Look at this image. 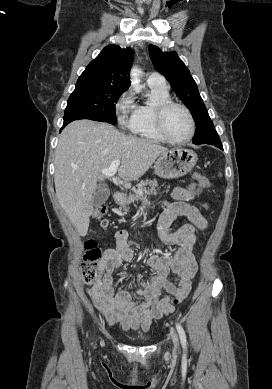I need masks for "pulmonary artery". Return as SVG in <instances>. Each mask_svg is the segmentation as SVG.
Here are the masks:
<instances>
[{"label": "pulmonary artery", "instance_id": "pulmonary-artery-1", "mask_svg": "<svg viewBox=\"0 0 272 389\" xmlns=\"http://www.w3.org/2000/svg\"><path fill=\"white\" fill-rule=\"evenodd\" d=\"M147 84L150 86H159L162 88H167L164 78L157 73H151L148 75Z\"/></svg>", "mask_w": 272, "mask_h": 389}]
</instances>
